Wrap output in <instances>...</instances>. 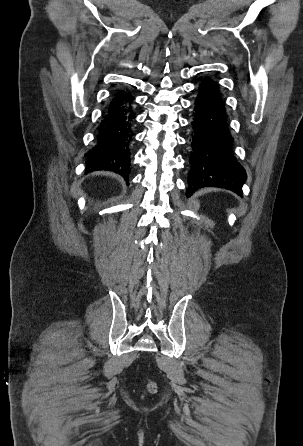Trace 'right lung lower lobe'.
<instances>
[{"instance_id":"obj_1","label":"right lung lower lobe","mask_w":303,"mask_h":446,"mask_svg":"<svg viewBox=\"0 0 303 446\" xmlns=\"http://www.w3.org/2000/svg\"><path fill=\"white\" fill-rule=\"evenodd\" d=\"M134 97L125 89L117 90L99 127L97 143L87 154L86 172L109 170L128 179L129 146L133 137Z\"/></svg>"}]
</instances>
